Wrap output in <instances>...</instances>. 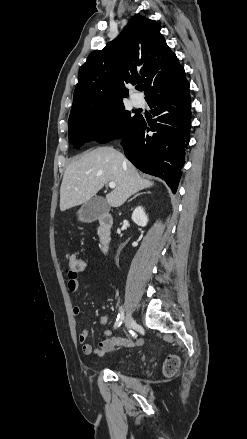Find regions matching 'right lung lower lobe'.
Instances as JSON below:
<instances>
[{
  "instance_id": "obj_1",
  "label": "right lung lower lobe",
  "mask_w": 247,
  "mask_h": 439,
  "mask_svg": "<svg viewBox=\"0 0 247 439\" xmlns=\"http://www.w3.org/2000/svg\"><path fill=\"white\" fill-rule=\"evenodd\" d=\"M190 102L188 82L155 95L147 103L157 118L149 122L140 116L120 137L126 157L141 171L165 180L173 193L190 139Z\"/></svg>"
}]
</instances>
